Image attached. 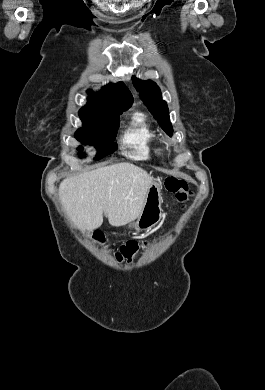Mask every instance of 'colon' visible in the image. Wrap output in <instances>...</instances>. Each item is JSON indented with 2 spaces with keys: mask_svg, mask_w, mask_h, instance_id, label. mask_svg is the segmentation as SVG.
I'll return each instance as SVG.
<instances>
[{
  "mask_svg": "<svg viewBox=\"0 0 265 390\" xmlns=\"http://www.w3.org/2000/svg\"><path fill=\"white\" fill-rule=\"evenodd\" d=\"M165 188L172 194L175 195L176 199L180 202H186L192 195L191 191L188 188V184L179 178L168 177L165 180ZM98 240H101L100 236L96 237ZM146 241H128L122 245L116 252L114 256L118 262H132L135 258L138 251L146 247Z\"/></svg>",
  "mask_w": 265,
  "mask_h": 390,
  "instance_id": "obj_1",
  "label": "colon"
}]
</instances>
